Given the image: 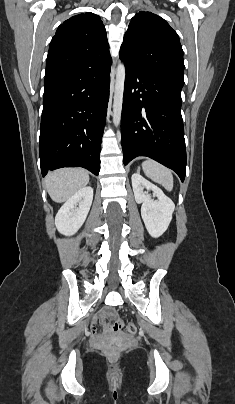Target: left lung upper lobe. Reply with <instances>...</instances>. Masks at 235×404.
I'll use <instances>...</instances> for the list:
<instances>
[{
  "label": "left lung upper lobe",
  "instance_id": "5c2ea615",
  "mask_svg": "<svg viewBox=\"0 0 235 404\" xmlns=\"http://www.w3.org/2000/svg\"><path fill=\"white\" fill-rule=\"evenodd\" d=\"M120 58L148 73L184 85L179 36L156 14L140 11L131 19L120 48Z\"/></svg>",
  "mask_w": 235,
  "mask_h": 404
}]
</instances>
